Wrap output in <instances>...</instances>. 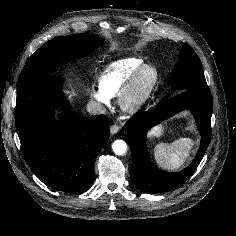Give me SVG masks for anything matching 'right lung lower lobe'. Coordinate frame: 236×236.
<instances>
[{
  "label": "right lung lower lobe",
  "instance_id": "1",
  "mask_svg": "<svg viewBox=\"0 0 236 236\" xmlns=\"http://www.w3.org/2000/svg\"><path fill=\"white\" fill-rule=\"evenodd\" d=\"M62 79L54 75L26 80L17 87L15 122L24 158L48 186L72 194L85 192L94 177L96 149L109 137L104 115L83 118L67 112L56 127L55 104Z\"/></svg>",
  "mask_w": 236,
  "mask_h": 236
}]
</instances>
